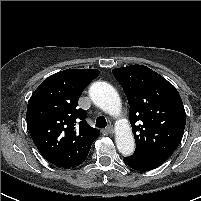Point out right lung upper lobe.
Instances as JSON below:
<instances>
[{
  "mask_svg": "<svg viewBox=\"0 0 201 201\" xmlns=\"http://www.w3.org/2000/svg\"><path fill=\"white\" fill-rule=\"evenodd\" d=\"M97 69H67L47 77L28 101L27 125L39 152L59 167L80 165L100 132L85 121L78 100Z\"/></svg>",
  "mask_w": 201,
  "mask_h": 201,
  "instance_id": "1",
  "label": "right lung upper lobe"
}]
</instances>
